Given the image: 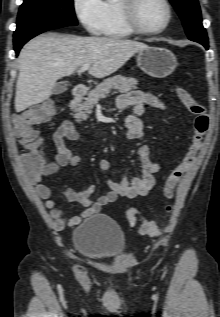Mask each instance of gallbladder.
Returning <instances> with one entry per match:
<instances>
[{"label": "gallbladder", "instance_id": "1", "mask_svg": "<svg viewBox=\"0 0 220 317\" xmlns=\"http://www.w3.org/2000/svg\"><path fill=\"white\" fill-rule=\"evenodd\" d=\"M68 89V85L65 82L57 83L52 89V94L58 95L66 92Z\"/></svg>", "mask_w": 220, "mask_h": 317}]
</instances>
